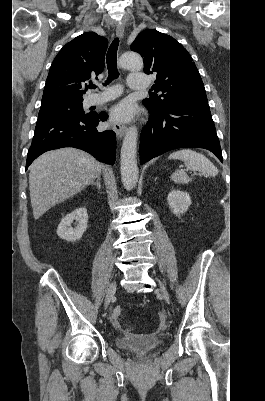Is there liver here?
I'll return each instance as SVG.
<instances>
[{"label":"liver","instance_id":"6515ba94","mask_svg":"<svg viewBox=\"0 0 265 401\" xmlns=\"http://www.w3.org/2000/svg\"><path fill=\"white\" fill-rule=\"evenodd\" d=\"M103 164L77 148L48 150L29 166V190L34 219L66 201L93 182Z\"/></svg>","mask_w":265,"mask_h":401}]
</instances>
